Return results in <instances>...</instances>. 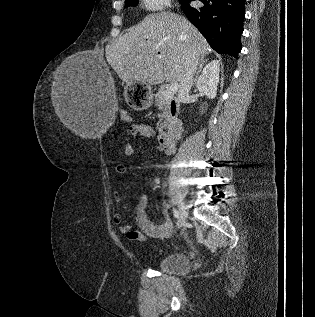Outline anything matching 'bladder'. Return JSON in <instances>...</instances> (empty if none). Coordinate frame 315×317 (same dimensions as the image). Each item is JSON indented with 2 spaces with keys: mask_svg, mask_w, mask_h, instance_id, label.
Masks as SVG:
<instances>
[{
  "mask_svg": "<svg viewBox=\"0 0 315 317\" xmlns=\"http://www.w3.org/2000/svg\"><path fill=\"white\" fill-rule=\"evenodd\" d=\"M157 267L160 271L172 274H185L190 269V261L183 253H171L162 257Z\"/></svg>",
  "mask_w": 315,
  "mask_h": 317,
  "instance_id": "1",
  "label": "bladder"
}]
</instances>
